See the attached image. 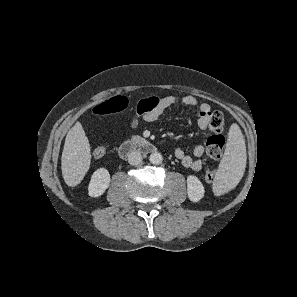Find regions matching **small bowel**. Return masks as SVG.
<instances>
[{"label": "small bowel", "instance_id": "small-bowel-1", "mask_svg": "<svg viewBox=\"0 0 297 297\" xmlns=\"http://www.w3.org/2000/svg\"><path fill=\"white\" fill-rule=\"evenodd\" d=\"M149 100L154 101L151 108L142 114V119L147 122H152L163 116L170 108L178 104L197 107V124L202 130L208 127V118L211 113V108L207 103H200L194 96H183L181 98L175 96L151 97ZM137 119L133 121V126L137 125ZM175 157L181 162V164L193 171H199L202 168L201 157L204 154V147L198 145L194 148L192 155L187 154L183 149L177 148L174 152Z\"/></svg>", "mask_w": 297, "mask_h": 297}]
</instances>
